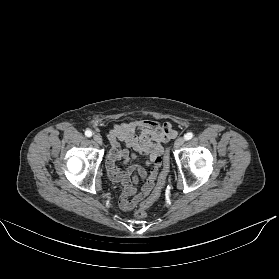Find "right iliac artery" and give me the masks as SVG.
Instances as JSON below:
<instances>
[{
  "instance_id": "right-iliac-artery-1",
  "label": "right iliac artery",
  "mask_w": 279,
  "mask_h": 279,
  "mask_svg": "<svg viewBox=\"0 0 279 279\" xmlns=\"http://www.w3.org/2000/svg\"><path fill=\"white\" fill-rule=\"evenodd\" d=\"M85 135H86L87 137H91V136H92V131H91V130H86V131H85Z\"/></svg>"
}]
</instances>
